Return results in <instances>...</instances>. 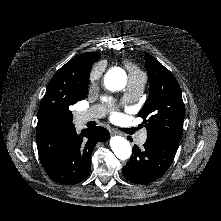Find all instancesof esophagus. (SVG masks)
I'll use <instances>...</instances> for the list:
<instances>
[{
    "label": "esophagus",
    "instance_id": "esophagus-1",
    "mask_svg": "<svg viewBox=\"0 0 221 221\" xmlns=\"http://www.w3.org/2000/svg\"><path fill=\"white\" fill-rule=\"evenodd\" d=\"M112 133H113V134H115V135H121V133H120V132H118V131H116V130H115V131H113Z\"/></svg>",
    "mask_w": 221,
    "mask_h": 221
}]
</instances>
